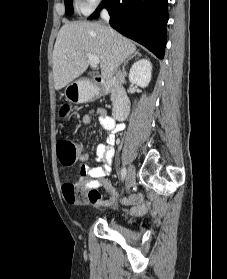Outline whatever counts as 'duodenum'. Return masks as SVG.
<instances>
[{
	"instance_id": "duodenum-1",
	"label": "duodenum",
	"mask_w": 227,
	"mask_h": 279,
	"mask_svg": "<svg viewBox=\"0 0 227 279\" xmlns=\"http://www.w3.org/2000/svg\"><path fill=\"white\" fill-rule=\"evenodd\" d=\"M110 91L114 94V117L123 121L127 118L130 111V98L121 84L104 78L95 77L92 86L82 92L81 104H86L97 98L108 94Z\"/></svg>"
}]
</instances>
